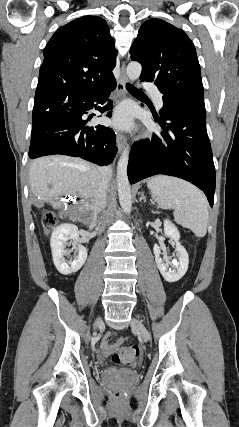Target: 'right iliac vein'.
Here are the masks:
<instances>
[{"label": "right iliac vein", "instance_id": "63e3f726", "mask_svg": "<svg viewBox=\"0 0 239 427\" xmlns=\"http://www.w3.org/2000/svg\"><path fill=\"white\" fill-rule=\"evenodd\" d=\"M101 324H102V319L101 318H97V320L95 321V324H94V328L99 327Z\"/></svg>", "mask_w": 239, "mask_h": 427}]
</instances>
